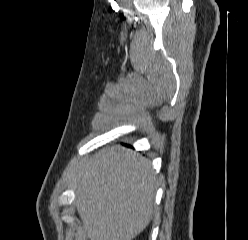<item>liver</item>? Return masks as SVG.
Returning <instances> with one entry per match:
<instances>
[{"mask_svg":"<svg viewBox=\"0 0 248 240\" xmlns=\"http://www.w3.org/2000/svg\"><path fill=\"white\" fill-rule=\"evenodd\" d=\"M156 178L150 161L109 147L84 164L76 189L77 212L90 240H132L150 223Z\"/></svg>","mask_w":248,"mask_h":240,"instance_id":"liver-1","label":"liver"}]
</instances>
